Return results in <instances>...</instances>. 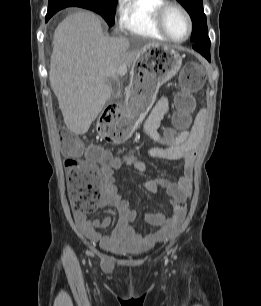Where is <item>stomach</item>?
<instances>
[{"instance_id": "stomach-1", "label": "stomach", "mask_w": 261, "mask_h": 306, "mask_svg": "<svg viewBox=\"0 0 261 306\" xmlns=\"http://www.w3.org/2000/svg\"><path fill=\"white\" fill-rule=\"evenodd\" d=\"M181 65L178 51L165 45L147 47L135 59L132 84L121 112L129 134L138 128L152 107L159 88L178 73Z\"/></svg>"}]
</instances>
